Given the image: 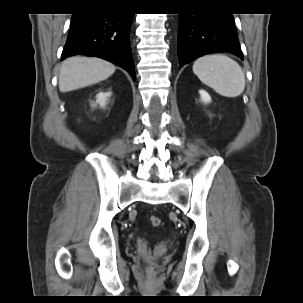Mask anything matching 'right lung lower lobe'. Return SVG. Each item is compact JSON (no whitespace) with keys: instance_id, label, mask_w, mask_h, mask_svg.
I'll return each instance as SVG.
<instances>
[{"instance_id":"right-lung-lower-lobe-1","label":"right lung lower lobe","mask_w":303,"mask_h":303,"mask_svg":"<svg viewBox=\"0 0 303 303\" xmlns=\"http://www.w3.org/2000/svg\"><path fill=\"white\" fill-rule=\"evenodd\" d=\"M133 17L104 8L73 14L61 59L78 54L100 57L127 70L135 80L129 38Z\"/></svg>"}]
</instances>
